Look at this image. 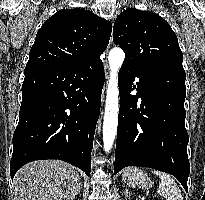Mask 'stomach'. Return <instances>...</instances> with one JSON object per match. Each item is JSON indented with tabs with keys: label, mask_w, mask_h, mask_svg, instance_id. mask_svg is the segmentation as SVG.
<instances>
[{
	"label": "stomach",
	"mask_w": 205,
	"mask_h": 200,
	"mask_svg": "<svg viewBox=\"0 0 205 200\" xmlns=\"http://www.w3.org/2000/svg\"><path fill=\"white\" fill-rule=\"evenodd\" d=\"M123 179L126 181L127 185L133 188L148 189L153 184L148 175L138 168L126 169L123 172Z\"/></svg>",
	"instance_id": "stomach-1"
}]
</instances>
